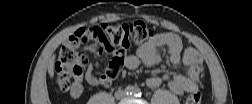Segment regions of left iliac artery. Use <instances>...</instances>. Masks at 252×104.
I'll return each mask as SVG.
<instances>
[{"label": "left iliac artery", "instance_id": "left-iliac-artery-1", "mask_svg": "<svg viewBox=\"0 0 252 104\" xmlns=\"http://www.w3.org/2000/svg\"><path fill=\"white\" fill-rule=\"evenodd\" d=\"M134 95L136 96V97H141V95H142V92H141V90L139 89V88H135L134 89Z\"/></svg>", "mask_w": 252, "mask_h": 104}]
</instances>
